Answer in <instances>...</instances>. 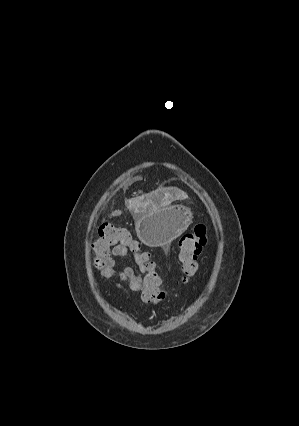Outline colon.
Segmentation results:
<instances>
[{
	"label": "colon",
	"instance_id": "obj_1",
	"mask_svg": "<svg viewBox=\"0 0 299 426\" xmlns=\"http://www.w3.org/2000/svg\"><path fill=\"white\" fill-rule=\"evenodd\" d=\"M98 234V238L92 245L95 266L99 268L115 247H125L138 253L146 267L140 292L142 301L150 305L163 302L167 297V291L162 287L156 264L131 233L126 228L105 222L100 225ZM207 244V230L203 224H197L191 232L181 236L178 243V259L182 266L183 283H188L196 274L198 257Z\"/></svg>",
	"mask_w": 299,
	"mask_h": 426
}]
</instances>
